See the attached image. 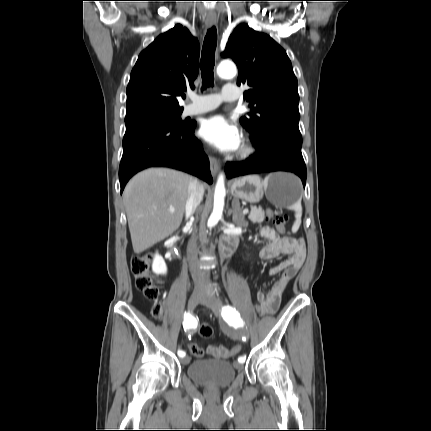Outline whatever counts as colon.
<instances>
[{
    "instance_id": "colon-1",
    "label": "colon",
    "mask_w": 431,
    "mask_h": 431,
    "mask_svg": "<svg viewBox=\"0 0 431 431\" xmlns=\"http://www.w3.org/2000/svg\"><path fill=\"white\" fill-rule=\"evenodd\" d=\"M266 215L268 218L274 219V224L279 232L285 231L286 219H276V212L273 209H267ZM155 256L152 253L146 254L144 256H135L131 259L130 268L131 272L135 278L136 288L143 293V295L150 301L154 302L152 308V315L154 318H160L162 315V306L157 301L159 297V287L155 283L154 278L151 273V263ZM261 306L258 302H255V312L257 315H262ZM199 334L203 338H209L213 334V329L211 325L207 322H202L199 325ZM187 348H189V354L194 360H201L204 357V350L201 348L200 343L195 342V340H188ZM243 342L237 341L235 347H230V353H228V358H235L243 347Z\"/></svg>"
}]
</instances>
